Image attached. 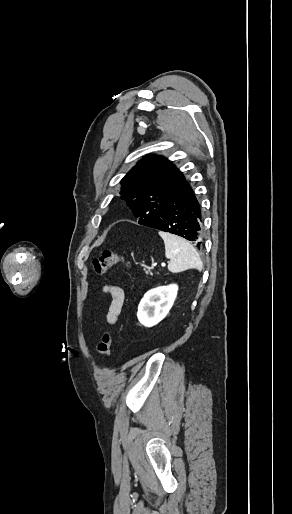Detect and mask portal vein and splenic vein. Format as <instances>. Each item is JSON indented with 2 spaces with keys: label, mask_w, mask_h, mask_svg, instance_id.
I'll return each mask as SVG.
<instances>
[{
  "label": "portal vein and splenic vein",
  "mask_w": 292,
  "mask_h": 514,
  "mask_svg": "<svg viewBox=\"0 0 292 514\" xmlns=\"http://www.w3.org/2000/svg\"><path fill=\"white\" fill-rule=\"evenodd\" d=\"M161 266H166V264H161Z\"/></svg>",
  "instance_id": "portal-vein-and-splenic-vein-1"
}]
</instances>
